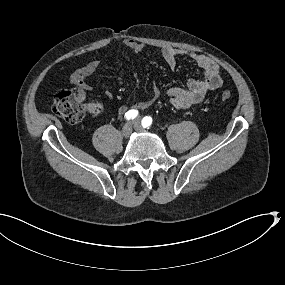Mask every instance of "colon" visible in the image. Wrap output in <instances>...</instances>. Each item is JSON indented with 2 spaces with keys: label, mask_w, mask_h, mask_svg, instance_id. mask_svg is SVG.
I'll list each match as a JSON object with an SVG mask.
<instances>
[{
  "label": "colon",
  "mask_w": 285,
  "mask_h": 285,
  "mask_svg": "<svg viewBox=\"0 0 285 285\" xmlns=\"http://www.w3.org/2000/svg\"><path fill=\"white\" fill-rule=\"evenodd\" d=\"M222 101L231 98V92L225 90L221 93ZM103 106L99 102L87 101L79 89L63 90L54 98L53 111L71 124L79 123L86 115L97 116L101 114Z\"/></svg>",
  "instance_id": "1"
}]
</instances>
